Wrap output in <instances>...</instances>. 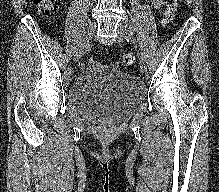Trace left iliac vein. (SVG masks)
Instances as JSON below:
<instances>
[{
  "instance_id": "4c4485c4",
  "label": "left iliac vein",
  "mask_w": 219,
  "mask_h": 192,
  "mask_svg": "<svg viewBox=\"0 0 219 192\" xmlns=\"http://www.w3.org/2000/svg\"><path fill=\"white\" fill-rule=\"evenodd\" d=\"M117 32L120 40L126 39V36L130 33L129 26L125 23H119L117 27ZM139 67L142 73H145L147 71L145 58H139Z\"/></svg>"
}]
</instances>
